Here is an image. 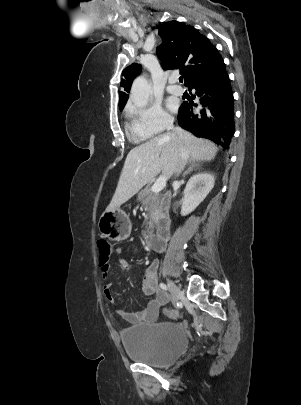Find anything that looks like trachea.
I'll return each mask as SVG.
<instances>
[{
  "instance_id": "obj_1",
  "label": "trachea",
  "mask_w": 301,
  "mask_h": 405,
  "mask_svg": "<svg viewBox=\"0 0 301 405\" xmlns=\"http://www.w3.org/2000/svg\"><path fill=\"white\" fill-rule=\"evenodd\" d=\"M179 81H180V82H183V78H182V77H180V78H179Z\"/></svg>"
}]
</instances>
